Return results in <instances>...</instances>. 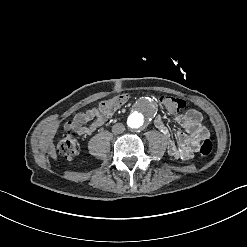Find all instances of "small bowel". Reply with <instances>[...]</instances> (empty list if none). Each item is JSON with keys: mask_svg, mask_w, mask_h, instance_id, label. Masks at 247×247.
<instances>
[{"mask_svg": "<svg viewBox=\"0 0 247 247\" xmlns=\"http://www.w3.org/2000/svg\"><path fill=\"white\" fill-rule=\"evenodd\" d=\"M108 116L101 107H93L76 113L65 123L64 128L78 135H90L106 123ZM174 120L185 131L173 132L160 116L154 120V125L166 137L168 153L175 158L188 160L199 151L205 137L206 128L202 125V115L199 111L190 109L176 116Z\"/></svg>", "mask_w": 247, "mask_h": 247, "instance_id": "obj_1", "label": "small bowel"}]
</instances>
